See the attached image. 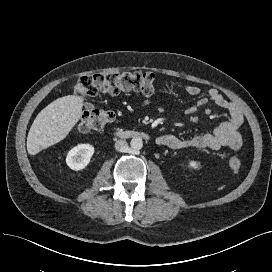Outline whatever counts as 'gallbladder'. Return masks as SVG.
Masks as SVG:
<instances>
[{
  "label": "gallbladder",
  "instance_id": "gallbladder-1",
  "mask_svg": "<svg viewBox=\"0 0 272 272\" xmlns=\"http://www.w3.org/2000/svg\"><path fill=\"white\" fill-rule=\"evenodd\" d=\"M85 108H86L87 110H92V109L94 108V105H92L91 103H86V104H85Z\"/></svg>",
  "mask_w": 272,
  "mask_h": 272
}]
</instances>
